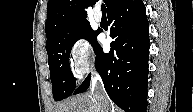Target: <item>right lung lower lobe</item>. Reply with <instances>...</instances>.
<instances>
[{"label":"right lung lower lobe","mask_w":193,"mask_h":112,"mask_svg":"<svg viewBox=\"0 0 193 112\" xmlns=\"http://www.w3.org/2000/svg\"><path fill=\"white\" fill-rule=\"evenodd\" d=\"M109 53L95 51V67L111 100L126 112H146L149 26L142 0H125L108 15ZM90 74L72 94L85 92Z\"/></svg>","instance_id":"1"}]
</instances>
